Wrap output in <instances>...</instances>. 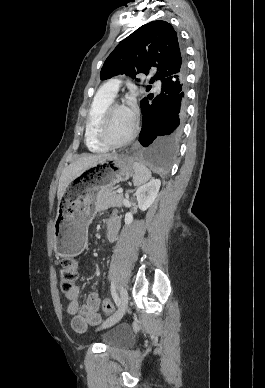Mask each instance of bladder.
<instances>
[{"label": "bladder", "mask_w": 265, "mask_h": 388, "mask_svg": "<svg viewBox=\"0 0 265 388\" xmlns=\"http://www.w3.org/2000/svg\"><path fill=\"white\" fill-rule=\"evenodd\" d=\"M129 331L126 327L117 326L102 336V340L107 346L124 345L128 342Z\"/></svg>", "instance_id": "31cf9c89"}]
</instances>
